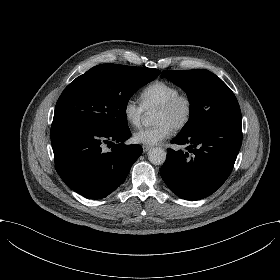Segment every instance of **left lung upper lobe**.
Masks as SVG:
<instances>
[{"label":"left lung upper lobe","instance_id":"obj_1","mask_svg":"<svg viewBox=\"0 0 280 280\" xmlns=\"http://www.w3.org/2000/svg\"><path fill=\"white\" fill-rule=\"evenodd\" d=\"M167 78L181 87L190 102V119L180 134H187L221 120L239 118L241 111L231 89L210 71H163Z\"/></svg>","mask_w":280,"mask_h":280}]
</instances>
